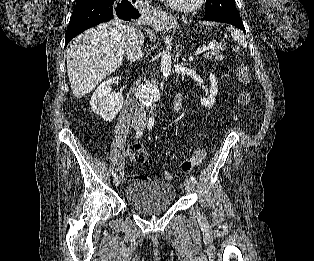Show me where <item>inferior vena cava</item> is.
Instances as JSON below:
<instances>
[{"instance_id": "inferior-vena-cava-1", "label": "inferior vena cava", "mask_w": 314, "mask_h": 261, "mask_svg": "<svg viewBox=\"0 0 314 261\" xmlns=\"http://www.w3.org/2000/svg\"><path fill=\"white\" fill-rule=\"evenodd\" d=\"M143 44V36L142 34H138L134 28H130L127 33L126 43H125V51L128 60L131 62H135L143 57V53L141 50V46ZM136 119H144L146 114L141 109L135 112Z\"/></svg>"}]
</instances>
